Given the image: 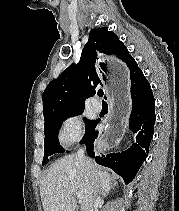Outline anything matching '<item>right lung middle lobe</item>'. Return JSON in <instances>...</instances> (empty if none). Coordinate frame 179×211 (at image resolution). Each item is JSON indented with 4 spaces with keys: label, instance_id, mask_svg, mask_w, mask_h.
<instances>
[{
    "label": "right lung middle lobe",
    "instance_id": "1",
    "mask_svg": "<svg viewBox=\"0 0 179 211\" xmlns=\"http://www.w3.org/2000/svg\"><path fill=\"white\" fill-rule=\"evenodd\" d=\"M82 112L83 110H79L69 114L56 116L45 123L44 159L42 163L43 165L49 162L48 160L49 155L64 152V149L60 146L57 137L63 121L66 120L68 117H73L75 115L81 114ZM84 121L86 123V133L80 143H84L86 141V139L88 138L89 134L92 132L96 124V121H89L86 118H84Z\"/></svg>",
    "mask_w": 179,
    "mask_h": 211
}]
</instances>
